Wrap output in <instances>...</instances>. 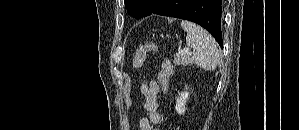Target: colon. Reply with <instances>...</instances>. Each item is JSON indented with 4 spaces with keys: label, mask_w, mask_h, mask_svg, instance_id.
Masks as SVG:
<instances>
[{
    "label": "colon",
    "mask_w": 299,
    "mask_h": 130,
    "mask_svg": "<svg viewBox=\"0 0 299 130\" xmlns=\"http://www.w3.org/2000/svg\"><path fill=\"white\" fill-rule=\"evenodd\" d=\"M156 46L152 43H145L142 44L138 50L136 51L133 59H132V65L135 69H138L142 67L143 63L145 62L147 55L150 52L156 51ZM172 70V64L168 59H165L162 64V71H161V80L162 85L166 89L167 88V82L165 80V77L171 72Z\"/></svg>",
    "instance_id": "colon-1"
}]
</instances>
